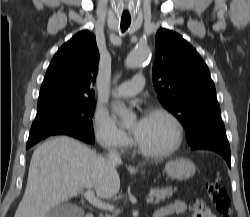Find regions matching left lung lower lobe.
I'll list each match as a JSON object with an SVG mask.
<instances>
[{
    "mask_svg": "<svg viewBox=\"0 0 250 217\" xmlns=\"http://www.w3.org/2000/svg\"><path fill=\"white\" fill-rule=\"evenodd\" d=\"M188 144L191 149L212 150L219 153L231 167V153L223 121H215L200 129Z\"/></svg>",
    "mask_w": 250,
    "mask_h": 217,
    "instance_id": "1",
    "label": "left lung lower lobe"
}]
</instances>
